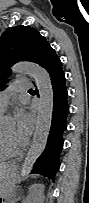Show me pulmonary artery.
<instances>
[{
    "instance_id": "e3ab8cb5",
    "label": "pulmonary artery",
    "mask_w": 89,
    "mask_h": 203,
    "mask_svg": "<svg viewBox=\"0 0 89 203\" xmlns=\"http://www.w3.org/2000/svg\"><path fill=\"white\" fill-rule=\"evenodd\" d=\"M33 87L31 81L19 79L14 85L10 86L0 97V112H3L8 104L10 97L17 92H26Z\"/></svg>"
}]
</instances>
